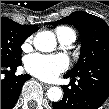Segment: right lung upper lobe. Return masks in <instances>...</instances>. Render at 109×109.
Masks as SVG:
<instances>
[{
	"label": "right lung upper lobe",
	"mask_w": 109,
	"mask_h": 109,
	"mask_svg": "<svg viewBox=\"0 0 109 109\" xmlns=\"http://www.w3.org/2000/svg\"><path fill=\"white\" fill-rule=\"evenodd\" d=\"M3 19H8V18L3 17ZM23 26L25 27V29L28 31V33L30 35L33 34L34 32H36L39 29V27L36 26V25H23Z\"/></svg>",
	"instance_id": "1"
}]
</instances>
